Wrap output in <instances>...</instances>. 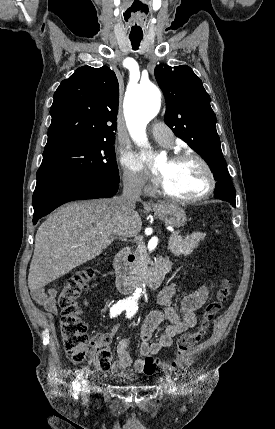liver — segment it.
<instances>
[{
	"label": "liver",
	"instance_id": "obj_1",
	"mask_svg": "<svg viewBox=\"0 0 275 429\" xmlns=\"http://www.w3.org/2000/svg\"><path fill=\"white\" fill-rule=\"evenodd\" d=\"M116 198L67 204L39 226L28 275L31 291L42 290L99 256L117 236L139 234L140 215L135 210L127 214L120 212Z\"/></svg>",
	"mask_w": 275,
	"mask_h": 429
}]
</instances>
